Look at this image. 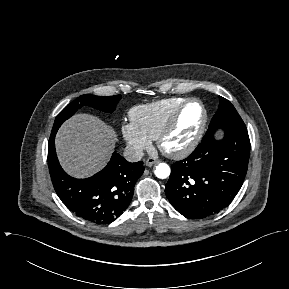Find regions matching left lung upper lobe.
I'll return each mask as SVG.
<instances>
[{"mask_svg":"<svg viewBox=\"0 0 289 289\" xmlns=\"http://www.w3.org/2000/svg\"><path fill=\"white\" fill-rule=\"evenodd\" d=\"M219 102L218 111L210 122L208 132L215 131L218 128H231L246 131V126L234 106L221 96L219 97Z\"/></svg>","mask_w":289,"mask_h":289,"instance_id":"1","label":"left lung upper lobe"}]
</instances>
